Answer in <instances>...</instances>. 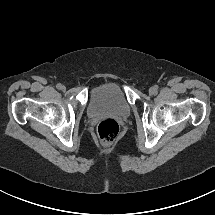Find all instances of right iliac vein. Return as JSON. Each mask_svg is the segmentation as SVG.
Masks as SVG:
<instances>
[{"mask_svg":"<svg viewBox=\"0 0 215 215\" xmlns=\"http://www.w3.org/2000/svg\"><path fill=\"white\" fill-rule=\"evenodd\" d=\"M61 90H62V91H65V90H66V87L62 85V86H61Z\"/></svg>","mask_w":215,"mask_h":215,"instance_id":"1","label":"right iliac vein"}]
</instances>
